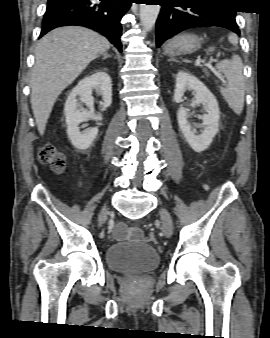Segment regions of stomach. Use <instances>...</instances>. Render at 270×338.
I'll return each instance as SVG.
<instances>
[{"instance_id": "obj_1", "label": "stomach", "mask_w": 270, "mask_h": 338, "mask_svg": "<svg viewBox=\"0 0 270 338\" xmlns=\"http://www.w3.org/2000/svg\"><path fill=\"white\" fill-rule=\"evenodd\" d=\"M201 39L190 33H181L164 46V54L175 57L181 55L192 54L201 47Z\"/></svg>"}]
</instances>
